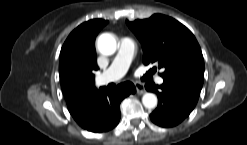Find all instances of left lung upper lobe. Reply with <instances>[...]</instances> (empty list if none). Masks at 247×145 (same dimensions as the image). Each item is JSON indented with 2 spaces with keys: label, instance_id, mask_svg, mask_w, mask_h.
<instances>
[{
  "label": "left lung upper lobe",
  "instance_id": "5c2ea615",
  "mask_svg": "<svg viewBox=\"0 0 247 145\" xmlns=\"http://www.w3.org/2000/svg\"><path fill=\"white\" fill-rule=\"evenodd\" d=\"M126 23L142 44L145 65L158 63L159 68H165L160 74L163 79L181 80L202 88L203 55L188 28L162 14Z\"/></svg>",
  "mask_w": 247,
  "mask_h": 145
}]
</instances>
